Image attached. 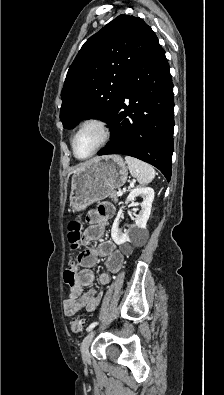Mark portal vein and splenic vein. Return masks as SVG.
Wrapping results in <instances>:
<instances>
[{"label":"portal vein and splenic vein","instance_id":"1","mask_svg":"<svg viewBox=\"0 0 224 395\" xmlns=\"http://www.w3.org/2000/svg\"><path fill=\"white\" fill-rule=\"evenodd\" d=\"M133 183H134V182H133ZM133 183H132V185H133ZM117 195H118V196H122V195H123V191L119 190V191L117 192Z\"/></svg>","mask_w":224,"mask_h":395}]
</instances>
